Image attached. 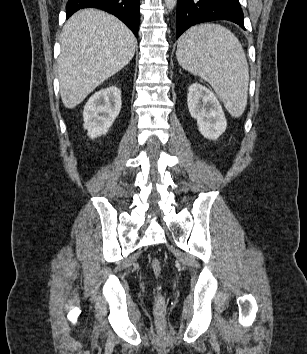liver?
<instances>
[{
	"label": "liver",
	"mask_w": 307,
	"mask_h": 354,
	"mask_svg": "<svg viewBox=\"0 0 307 354\" xmlns=\"http://www.w3.org/2000/svg\"><path fill=\"white\" fill-rule=\"evenodd\" d=\"M60 44V94L64 106L72 109L132 60L137 42L113 15L84 9L67 20Z\"/></svg>",
	"instance_id": "6515ba94"
}]
</instances>
